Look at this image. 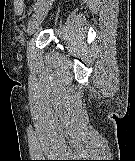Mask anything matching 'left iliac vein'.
Listing matches in <instances>:
<instances>
[{
    "mask_svg": "<svg viewBox=\"0 0 135 161\" xmlns=\"http://www.w3.org/2000/svg\"><path fill=\"white\" fill-rule=\"evenodd\" d=\"M53 1L54 0H43L39 7L34 11L31 18L28 21V35L34 34L39 29V26L46 17Z\"/></svg>",
    "mask_w": 135,
    "mask_h": 161,
    "instance_id": "1",
    "label": "left iliac vein"
}]
</instances>
